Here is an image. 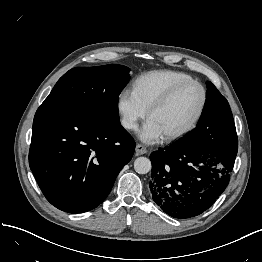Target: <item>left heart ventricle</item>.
I'll return each instance as SVG.
<instances>
[{
	"label": "left heart ventricle",
	"instance_id": "obj_1",
	"mask_svg": "<svg viewBox=\"0 0 262 262\" xmlns=\"http://www.w3.org/2000/svg\"><path fill=\"white\" fill-rule=\"evenodd\" d=\"M201 101V91L190 85L181 89L172 100L150 118L163 135L174 133L184 128L196 113Z\"/></svg>",
	"mask_w": 262,
	"mask_h": 262
}]
</instances>
